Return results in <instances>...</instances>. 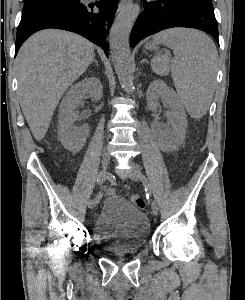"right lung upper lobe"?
Segmentation results:
<instances>
[{
    "label": "right lung upper lobe",
    "mask_w": 245,
    "mask_h": 300,
    "mask_svg": "<svg viewBox=\"0 0 245 300\" xmlns=\"http://www.w3.org/2000/svg\"><path fill=\"white\" fill-rule=\"evenodd\" d=\"M30 1H35V0H24V2H30Z\"/></svg>",
    "instance_id": "obj_1"
}]
</instances>
